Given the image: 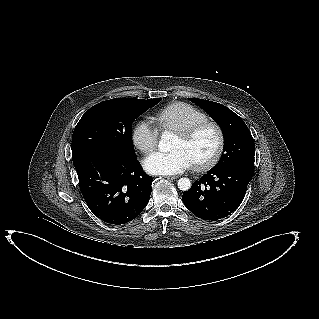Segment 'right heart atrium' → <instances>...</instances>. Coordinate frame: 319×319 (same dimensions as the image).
<instances>
[{"mask_svg":"<svg viewBox=\"0 0 319 319\" xmlns=\"http://www.w3.org/2000/svg\"><path fill=\"white\" fill-rule=\"evenodd\" d=\"M158 130L147 120L138 121L132 129V141L142 153L151 152L158 142Z\"/></svg>","mask_w":319,"mask_h":319,"instance_id":"right-heart-atrium-1","label":"right heart atrium"}]
</instances>
